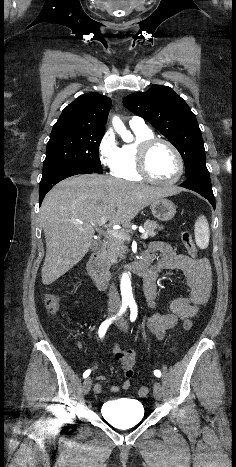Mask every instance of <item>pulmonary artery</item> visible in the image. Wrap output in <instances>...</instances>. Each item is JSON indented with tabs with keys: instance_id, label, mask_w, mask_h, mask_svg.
Returning a JSON list of instances; mask_svg holds the SVG:
<instances>
[{
	"instance_id": "1",
	"label": "pulmonary artery",
	"mask_w": 236,
	"mask_h": 467,
	"mask_svg": "<svg viewBox=\"0 0 236 467\" xmlns=\"http://www.w3.org/2000/svg\"><path fill=\"white\" fill-rule=\"evenodd\" d=\"M129 125L131 128H147L144 119L138 116H133L129 121Z\"/></svg>"
}]
</instances>
